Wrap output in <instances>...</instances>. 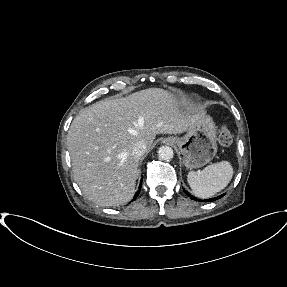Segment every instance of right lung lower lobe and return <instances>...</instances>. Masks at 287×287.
I'll return each mask as SVG.
<instances>
[{
    "mask_svg": "<svg viewBox=\"0 0 287 287\" xmlns=\"http://www.w3.org/2000/svg\"><path fill=\"white\" fill-rule=\"evenodd\" d=\"M141 187H142V180H141V182H140L139 188H141ZM139 192H140V190L136 192V194H135L133 200L136 199V197L139 195Z\"/></svg>",
    "mask_w": 287,
    "mask_h": 287,
    "instance_id": "obj_1",
    "label": "right lung lower lobe"
}]
</instances>
